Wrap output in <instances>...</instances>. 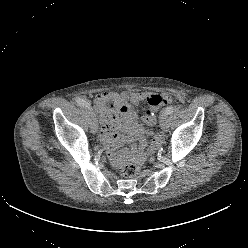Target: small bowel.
Wrapping results in <instances>:
<instances>
[{"instance_id":"c3829d8e","label":"small bowel","mask_w":248,"mask_h":248,"mask_svg":"<svg viewBox=\"0 0 248 248\" xmlns=\"http://www.w3.org/2000/svg\"><path fill=\"white\" fill-rule=\"evenodd\" d=\"M149 95L136 92H102L96 95L94 102L99 110L102 126V139L107 147V154L111 163L120 166L123 156L115 151V144L123 139L137 140V146L132 152L142 153L146 146L145 132L138 122V112L135 106L149 99ZM158 138L149 150H153Z\"/></svg>"}]
</instances>
